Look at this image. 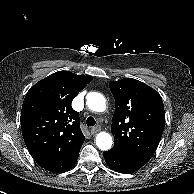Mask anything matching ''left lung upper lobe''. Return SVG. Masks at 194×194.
I'll return each instance as SVG.
<instances>
[{"label": "left lung upper lobe", "mask_w": 194, "mask_h": 194, "mask_svg": "<svg viewBox=\"0 0 194 194\" xmlns=\"http://www.w3.org/2000/svg\"><path fill=\"white\" fill-rule=\"evenodd\" d=\"M116 110L111 131L115 144L110 151L145 165L155 153L165 126L160 94L133 78L109 83Z\"/></svg>", "instance_id": "obj_1"}]
</instances>
